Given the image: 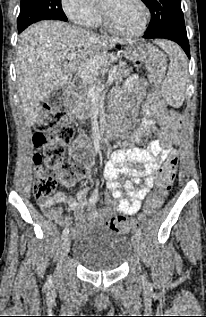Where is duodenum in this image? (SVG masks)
I'll return each mask as SVG.
<instances>
[{
    "mask_svg": "<svg viewBox=\"0 0 206 317\" xmlns=\"http://www.w3.org/2000/svg\"><path fill=\"white\" fill-rule=\"evenodd\" d=\"M64 105H65L66 111L68 112L70 116L77 114V109H76L74 100H65ZM121 132H122V128L119 122L116 121L109 124L106 127V132H101V137H106V134H107V137H116L117 135L121 134ZM95 137L97 140L100 138L98 134Z\"/></svg>",
    "mask_w": 206,
    "mask_h": 317,
    "instance_id": "410a0bca",
    "label": "duodenum"
}]
</instances>
